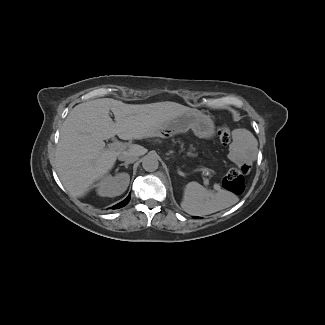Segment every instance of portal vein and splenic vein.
<instances>
[{
    "mask_svg": "<svg viewBox=\"0 0 325 325\" xmlns=\"http://www.w3.org/2000/svg\"><path fill=\"white\" fill-rule=\"evenodd\" d=\"M108 147H109V149L125 150L127 146L124 143L117 141V142L108 144ZM204 185H206V186L209 185V180L207 178H204ZM215 189H217L216 185H215Z\"/></svg>",
    "mask_w": 325,
    "mask_h": 325,
    "instance_id": "1",
    "label": "portal vein and splenic vein"
}]
</instances>
